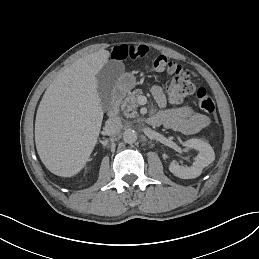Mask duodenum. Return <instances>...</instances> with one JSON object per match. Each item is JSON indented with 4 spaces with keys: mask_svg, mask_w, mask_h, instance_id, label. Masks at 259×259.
Masks as SVG:
<instances>
[{
    "mask_svg": "<svg viewBox=\"0 0 259 259\" xmlns=\"http://www.w3.org/2000/svg\"><path fill=\"white\" fill-rule=\"evenodd\" d=\"M124 94H125V88L122 86L116 87L113 90L111 101L107 107V114L109 116H114L117 113L119 103L122 100ZM149 121L152 122V119H150Z\"/></svg>",
    "mask_w": 259,
    "mask_h": 259,
    "instance_id": "duodenum-1",
    "label": "duodenum"
}]
</instances>
